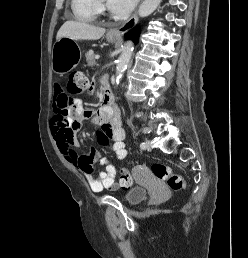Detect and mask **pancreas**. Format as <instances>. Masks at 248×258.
<instances>
[{"label":"pancreas","mask_w":248,"mask_h":258,"mask_svg":"<svg viewBox=\"0 0 248 258\" xmlns=\"http://www.w3.org/2000/svg\"><path fill=\"white\" fill-rule=\"evenodd\" d=\"M85 56H86V61H87V65L88 66H94V65H96V62H95V60H94V52H93V50H89L86 54H85Z\"/></svg>","instance_id":"obj_1"}]
</instances>
